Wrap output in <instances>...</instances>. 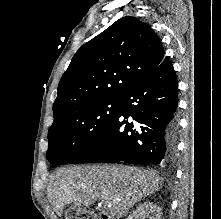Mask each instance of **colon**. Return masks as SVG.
<instances>
[{
  "label": "colon",
  "mask_w": 221,
  "mask_h": 219,
  "mask_svg": "<svg viewBox=\"0 0 221 219\" xmlns=\"http://www.w3.org/2000/svg\"><path fill=\"white\" fill-rule=\"evenodd\" d=\"M66 219H97V216L90 210L70 208L67 211Z\"/></svg>",
  "instance_id": "colon-1"
}]
</instances>
